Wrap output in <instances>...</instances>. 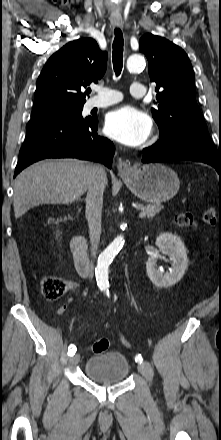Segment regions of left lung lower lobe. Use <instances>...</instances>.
I'll return each instance as SVG.
<instances>
[{
  "mask_svg": "<svg viewBox=\"0 0 221 440\" xmlns=\"http://www.w3.org/2000/svg\"><path fill=\"white\" fill-rule=\"evenodd\" d=\"M191 160L211 165L221 175V151L199 143L183 146L175 145L164 139L143 150V163Z\"/></svg>",
  "mask_w": 221,
  "mask_h": 440,
  "instance_id": "left-lung-lower-lobe-1",
  "label": "left lung lower lobe"
}]
</instances>
